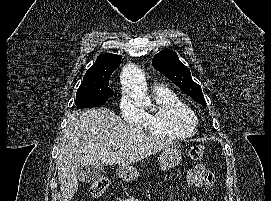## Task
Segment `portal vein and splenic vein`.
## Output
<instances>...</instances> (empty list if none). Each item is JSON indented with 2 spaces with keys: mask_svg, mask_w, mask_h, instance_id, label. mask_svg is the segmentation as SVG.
Instances as JSON below:
<instances>
[{
  "mask_svg": "<svg viewBox=\"0 0 271 201\" xmlns=\"http://www.w3.org/2000/svg\"><path fill=\"white\" fill-rule=\"evenodd\" d=\"M115 147H116V148H120V147H121V145H120V144H117V145H115Z\"/></svg>",
  "mask_w": 271,
  "mask_h": 201,
  "instance_id": "1",
  "label": "portal vein and splenic vein"
}]
</instances>
